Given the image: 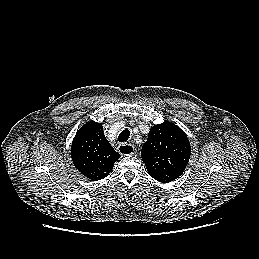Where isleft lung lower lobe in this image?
<instances>
[{
	"label": "left lung lower lobe",
	"mask_w": 259,
	"mask_h": 259,
	"mask_svg": "<svg viewBox=\"0 0 259 259\" xmlns=\"http://www.w3.org/2000/svg\"><path fill=\"white\" fill-rule=\"evenodd\" d=\"M174 179H167V180H164V181H162L163 183H167V182H171V181H173Z\"/></svg>",
	"instance_id": "obj_1"
}]
</instances>
